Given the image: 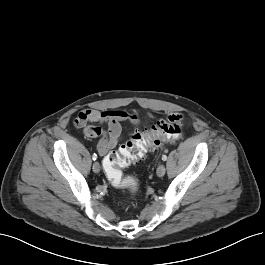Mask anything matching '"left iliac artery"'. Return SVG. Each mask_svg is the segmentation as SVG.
Instances as JSON below:
<instances>
[{"instance_id": "obj_1", "label": "left iliac artery", "mask_w": 265, "mask_h": 265, "mask_svg": "<svg viewBox=\"0 0 265 265\" xmlns=\"http://www.w3.org/2000/svg\"><path fill=\"white\" fill-rule=\"evenodd\" d=\"M162 160H163V161H166V160H167V156H166V155H163V156H162Z\"/></svg>"}]
</instances>
